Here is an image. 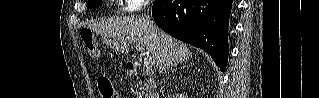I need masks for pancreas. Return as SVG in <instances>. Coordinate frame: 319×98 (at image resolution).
<instances>
[{"instance_id": "pancreas-1", "label": "pancreas", "mask_w": 319, "mask_h": 98, "mask_svg": "<svg viewBox=\"0 0 319 98\" xmlns=\"http://www.w3.org/2000/svg\"><path fill=\"white\" fill-rule=\"evenodd\" d=\"M149 87L146 84L140 83L139 90L135 92L137 98H142L143 92H147Z\"/></svg>"}]
</instances>
